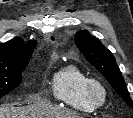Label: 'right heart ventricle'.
<instances>
[{"label":"right heart ventricle","instance_id":"right-heart-ventricle-1","mask_svg":"<svg viewBox=\"0 0 133 118\" xmlns=\"http://www.w3.org/2000/svg\"><path fill=\"white\" fill-rule=\"evenodd\" d=\"M89 77L79 67L67 65L58 70L51 84L52 94L61 103L80 113L95 111L87 99L85 85Z\"/></svg>","mask_w":133,"mask_h":118}]
</instances>
